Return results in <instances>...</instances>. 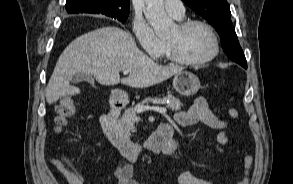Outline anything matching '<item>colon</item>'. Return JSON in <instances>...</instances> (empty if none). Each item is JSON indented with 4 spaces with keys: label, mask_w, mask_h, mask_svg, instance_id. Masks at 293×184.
I'll return each mask as SVG.
<instances>
[{
    "label": "colon",
    "mask_w": 293,
    "mask_h": 184,
    "mask_svg": "<svg viewBox=\"0 0 293 184\" xmlns=\"http://www.w3.org/2000/svg\"><path fill=\"white\" fill-rule=\"evenodd\" d=\"M75 113V106L71 98H63L56 107V127L61 130L69 121V119ZM228 114L232 119H236L239 116L238 111L235 108H229ZM253 158L250 155H246L243 159V174L236 184H249V175L252 167Z\"/></svg>",
    "instance_id": "1"
}]
</instances>
